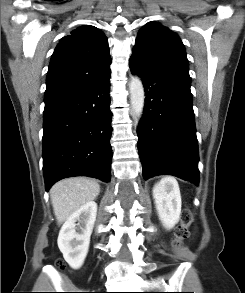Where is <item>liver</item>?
<instances>
[{
  "label": "liver",
  "instance_id": "liver-1",
  "mask_svg": "<svg viewBox=\"0 0 245 293\" xmlns=\"http://www.w3.org/2000/svg\"><path fill=\"white\" fill-rule=\"evenodd\" d=\"M99 193V184L87 178H68L54 184L50 190V198L58 224L66 221L87 202L93 201Z\"/></svg>",
  "mask_w": 245,
  "mask_h": 293
}]
</instances>
